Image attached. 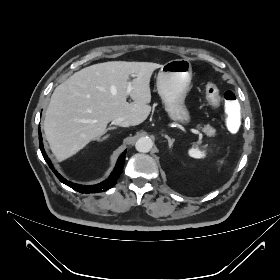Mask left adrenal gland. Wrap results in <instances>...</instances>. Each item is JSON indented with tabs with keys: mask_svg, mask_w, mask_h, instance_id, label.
<instances>
[{
	"mask_svg": "<svg viewBox=\"0 0 280 280\" xmlns=\"http://www.w3.org/2000/svg\"><path fill=\"white\" fill-rule=\"evenodd\" d=\"M164 137L168 140V146L169 148H172L174 139H171L168 135H164Z\"/></svg>",
	"mask_w": 280,
	"mask_h": 280,
	"instance_id": "left-adrenal-gland-1",
	"label": "left adrenal gland"
}]
</instances>
